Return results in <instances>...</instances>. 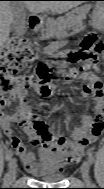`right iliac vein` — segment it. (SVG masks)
<instances>
[{"label": "right iliac vein", "instance_id": "right-iliac-vein-1", "mask_svg": "<svg viewBox=\"0 0 104 189\" xmlns=\"http://www.w3.org/2000/svg\"><path fill=\"white\" fill-rule=\"evenodd\" d=\"M17 173V162L15 158H12L9 164L8 173H7V181L9 183L13 182L16 178Z\"/></svg>", "mask_w": 104, "mask_h": 189}]
</instances>
